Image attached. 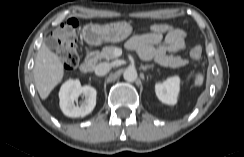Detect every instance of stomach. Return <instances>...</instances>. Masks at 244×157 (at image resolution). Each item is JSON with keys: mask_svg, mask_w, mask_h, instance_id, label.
Listing matches in <instances>:
<instances>
[{"mask_svg": "<svg viewBox=\"0 0 244 157\" xmlns=\"http://www.w3.org/2000/svg\"><path fill=\"white\" fill-rule=\"evenodd\" d=\"M132 33V26L125 22H113L110 24H87L83 28V37L90 45H100L102 42H120Z\"/></svg>", "mask_w": 244, "mask_h": 157, "instance_id": "obj_1", "label": "stomach"}]
</instances>
